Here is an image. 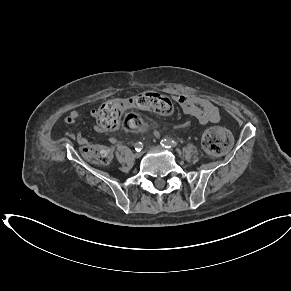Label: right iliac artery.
<instances>
[{
  "label": "right iliac artery",
  "instance_id": "right-iliac-artery-1",
  "mask_svg": "<svg viewBox=\"0 0 291 291\" xmlns=\"http://www.w3.org/2000/svg\"><path fill=\"white\" fill-rule=\"evenodd\" d=\"M142 148H143V144L141 142L135 143V150L137 152H140L142 150Z\"/></svg>",
  "mask_w": 291,
  "mask_h": 291
}]
</instances>
